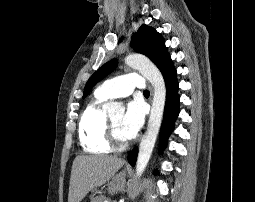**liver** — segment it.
Masks as SVG:
<instances>
[{
    "label": "liver",
    "instance_id": "1",
    "mask_svg": "<svg viewBox=\"0 0 255 202\" xmlns=\"http://www.w3.org/2000/svg\"><path fill=\"white\" fill-rule=\"evenodd\" d=\"M124 163L115 156H77L71 170L68 202H80L91 189L110 180Z\"/></svg>",
    "mask_w": 255,
    "mask_h": 202
}]
</instances>
